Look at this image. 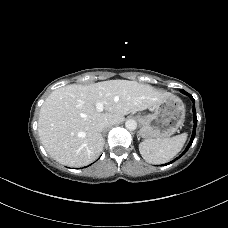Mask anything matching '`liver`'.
Masks as SVG:
<instances>
[{
    "instance_id": "liver-1",
    "label": "liver",
    "mask_w": 228,
    "mask_h": 228,
    "mask_svg": "<svg viewBox=\"0 0 228 228\" xmlns=\"http://www.w3.org/2000/svg\"><path fill=\"white\" fill-rule=\"evenodd\" d=\"M169 95L128 80L67 85L54 90L40 109V140L57 162L71 167L86 166L99 157L105 144L96 129L98 123L120 124L125 115L151 108ZM99 103L103 104L101 112L97 109Z\"/></svg>"
}]
</instances>
